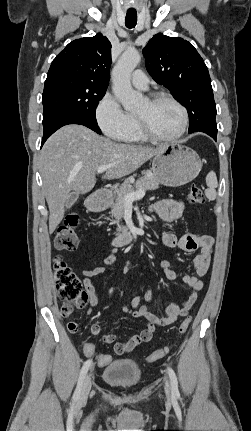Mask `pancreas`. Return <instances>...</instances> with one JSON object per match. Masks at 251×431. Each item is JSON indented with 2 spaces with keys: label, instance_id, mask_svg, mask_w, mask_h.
<instances>
[{
  "label": "pancreas",
  "instance_id": "pancreas-1",
  "mask_svg": "<svg viewBox=\"0 0 251 431\" xmlns=\"http://www.w3.org/2000/svg\"><path fill=\"white\" fill-rule=\"evenodd\" d=\"M145 175L134 182V178L130 177L124 181L119 189H115L113 192V199L111 203V217L115 218V222L111 224H117V231H125L126 227L120 225V220L124 217L125 203L124 196L129 193H133L143 190H155L159 187L158 180L154 177L151 171H146Z\"/></svg>",
  "mask_w": 251,
  "mask_h": 431
}]
</instances>
